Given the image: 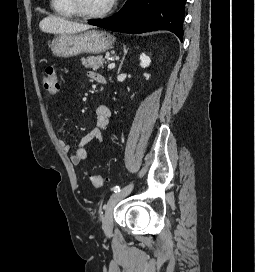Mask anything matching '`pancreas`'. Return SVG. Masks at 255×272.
Instances as JSON below:
<instances>
[{
	"label": "pancreas",
	"mask_w": 255,
	"mask_h": 272,
	"mask_svg": "<svg viewBox=\"0 0 255 272\" xmlns=\"http://www.w3.org/2000/svg\"><path fill=\"white\" fill-rule=\"evenodd\" d=\"M81 62L84 67L97 70L104 63H107V60H105L102 55H97V56H89L87 58H82Z\"/></svg>",
	"instance_id": "1"
}]
</instances>
